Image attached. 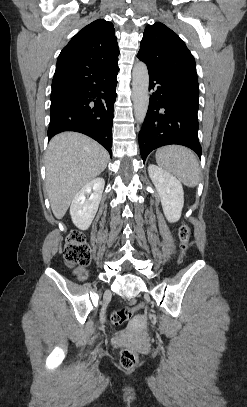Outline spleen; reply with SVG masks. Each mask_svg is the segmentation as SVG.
Wrapping results in <instances>:
<instances>
[{
    "label": "spleen",
    "instance_id": "obj_1",
    "mask_svg": "<svg viewBox=\"0 0 247 407\" xmlns=\"http://www.w3.org/2000/svg\"><path fill=\"white\" fill-rule=\"evenodd\" d=\"M157 164L175 175L185 186L194 188L200 181V167L196 155L180 145H169L156 151Z\"/></svg>",
    "mask_w": 247,
    "mask_h": 407
}]
</instances>
